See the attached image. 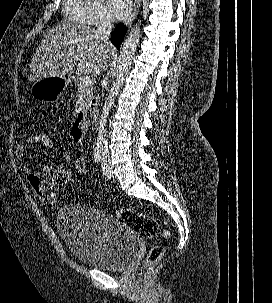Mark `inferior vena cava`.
<instances>
[{"label": "inferior vena cava", "instance_id": "inferior-vena-cava-1", "mask_svg": "<svg viewBox=\"0 0 272 303\" xmlns=\"http://www.w3.org/2000/svg\"><path fill=\"white\" fill-rule=\"evenodd\" d=\"M97 31L100 34L101 38L105 42H108L111 31H112V19L107 15L102 16L99 20V25H98ZM101 144H102V159H104V160L109 159V150H108V145H107L106 134H104Z\"/></svg>", "mask_w": 272, "mask_h": 303}]
</instances>
